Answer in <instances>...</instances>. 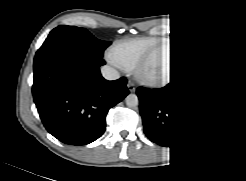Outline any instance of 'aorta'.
<instances>
[{"mask_svg":"<svg viewBox=\"0 0 246 181\" xmlns=\"http://www.w3.org/2000/svg\"><path fill=\"white\" fill-rule=\"evenodd\" d=\"M125 103L128 107L134 108L138 105L139 100L138 97L135 94H129L126 98H125Z\"/></svg>","mask_w":246,"mask_h":181,"instance_id":"1","label":"aorta"}]
</instances>
